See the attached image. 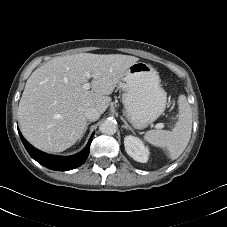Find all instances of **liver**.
Listing matches in <instances>:
<instances>
[{
    "instance_id": "liver-1",
    "label": "liver",
    "mask_w": 227,
    "mask_h": 227,
    "mask_svg": "<svg viewBox=\"0 0 227 227\" xmlns=\"http://www.w3.org/2000/svg\"><path fill=\"white\" fill-rule=\"evenodd\" d=\"M139 59L122 54L79 53L56 57L28 78L18 108L24 137L36 148L62 152L77 142L87 124L85 111L108 108L113 90ZM92 77L91 90H84Z\"/></svg>"
}]
</instances>
